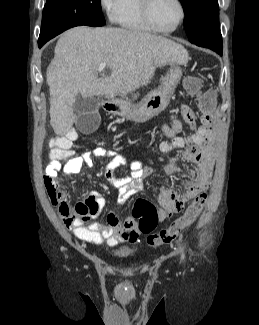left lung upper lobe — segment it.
Wrapping results in <instances>:
<instances>
[{"mask_svg": "<svg viewBox=\"0 0 259 325\" xmlns=\"http://www.w3.org/2000/svg\"><path fill=\"white\" fill-rule=\"evenodd\" d=\"M184 12V27L190 42L203 46L221 38L218 0H180Z\"/></svg>", "mask_w": 259, "mask_h": 325, "instance_id": "5c2ea615", "label": "left lung upper lobe"}]
</instances>
